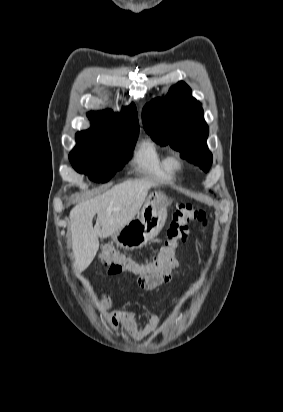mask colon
<instances>
[{
  "mask_svg": "<svg viewBox=\"0 0 283 412\" xmlns=\"http://www.w3.org/2000/svg\"><path fill=\"white\" fill-rule=\"evenodd\" d=\"M207 223V215L201 208L192 204H180L172 215L166 243L154 258L136 262L125 258L112 246L104 244L101 247L100 260L108 266L109 274L131 273L141 278L158 281L171 270L172 261L180 244L189 236L190 225L196 224L205 229Z\"/></svg>",
  "mask_w": 283,
  "mask_h": 412,
  "instance_id": "1",
  "label": "colon"
}]
</instances>
